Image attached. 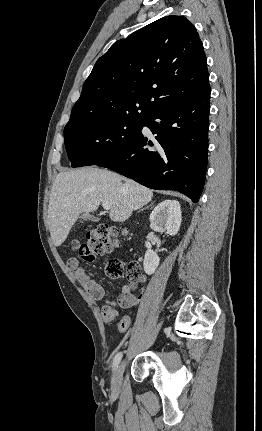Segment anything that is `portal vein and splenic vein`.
I'll return each instance as SVG.
<instances>
[{"label":"portal vein and splenic vein","mask_w":262,"mask_h":431,"mask_svg":"<svg viewBox=\"0 0 262 431\" xmlns=\"http://www.w3.org/2000/svg\"><path fill=\"white\" fill-rule=\"evenodd\" d=\"M102 207L105 210H110L111 209V204L108 201H105V202L102 203Z\"/></svg>","instance_id":"portal-vein-and-splenic-vein-1"}]
</instances>
